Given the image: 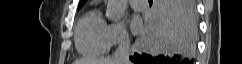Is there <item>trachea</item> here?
<instances>
[{"label":"trachea","mask_w":242,"mask_h":64,"mask_svg":"<svg viewBox=\"0 0 242 64\" xmlns=\"http://www.w3.org/2000/svg\"><path fill=\"white\" fill-rule=\"evenodd\" d=\"M148 2H149V3H152V2H153V0H148Z\"/></svg>","instance_id":"trachea-1"}]
</instances>
